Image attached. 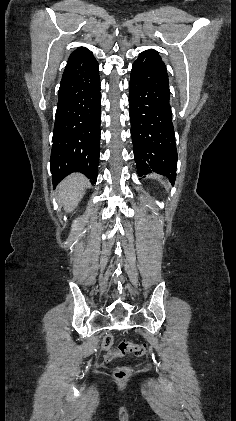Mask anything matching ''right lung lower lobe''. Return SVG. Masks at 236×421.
<instances>
[{"mask_svg": "<svg viewBox=\"0 0 236 421\" xmlns=\"http://www.w3.org/2000/svg\"><path fill=\"white\" fill-rule=\"evenodd\" d=\"M100 122L98 62L91 54L68 62L60 82L50 158L54 187L73 172L96 183Z\"/></svg>", "mask_w": 236, "mask_h": 421, "instance_id": "obj_1", "label": "right lung lower lobe"}]
</instances>
